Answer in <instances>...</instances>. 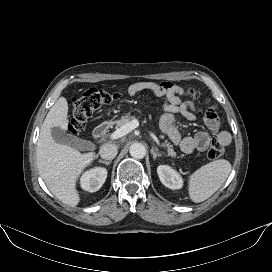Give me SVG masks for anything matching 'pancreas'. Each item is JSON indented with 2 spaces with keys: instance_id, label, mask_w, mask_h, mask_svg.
I'll use <instances>...</instances> for the list:
<instances>
[{
  "instance_id": "1",
  "label": "pancreas",
  "mask_w": 272,
  "mask_h": 272,
  "mask_svg": "<svg viewBox=\"0 0 272 272\" xmlns=\"http://www.w3.org/2000/svg\"><path fill=\"white\" fill-rule=\"evenodd\" d=\"M134 119L133 116H130L129 114H125L120 120L116 121L117 127H122L126 123H129ZM161 139L164 138L163 135L160 136ZM163 146L166 148L168 156L176 157V152L173 149V145H171L167 140L163 142Z\"/></svg>"
}]
</instances>
